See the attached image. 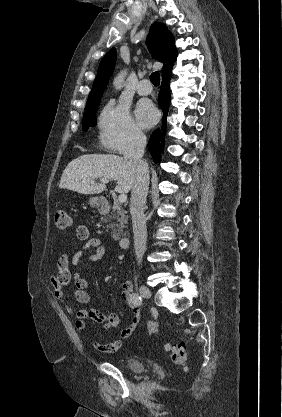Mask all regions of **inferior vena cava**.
Returning a JSON list of instances; mask_svg holds the SVG:
<instances>
[{"mask_svg": "<svg viewBox=\"0 0 282 417\" xmlns=\"http://www.w3.org/2000/svg\"><path fill=\"white\" fill-rule=\"evenodd\" d=\"M146 142V136L143 132L133 130L123 152L125 160L131 164L134 172V182L130 198V213L134 235V249L138 265L142 263L147 241L144 204L149 188V170L147 162L142 160Z\"/></svg>", "mask_w": 282, "mask_h": 417, "instance_id": "inferior-vena-cava-1", "label": "inferior vena cava"}]
</instances>
